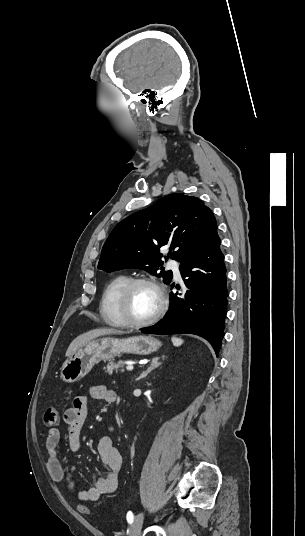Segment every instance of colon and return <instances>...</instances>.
I'll return each mask as SVG.
<instances>
[{
	"instance_id": "5ec220e1",
	"label": "colon",
	"mask_w": 305,
	"mask_h": 536,
	"mask_svg": "<svg viewBox=\"0 0 305 536\" xmlns=\"http://www.w3.org/2000/svg\"><path fill=\"white\" fill-rule=\"evenodd\" d=\"M58 423V409L55 405H49L43 416V424L45 427H54ZM90 509V506L86 502H82L78 505V510L82 513H86L87 515H90V512H88Z\"/></svg>"
}]
</instances>
